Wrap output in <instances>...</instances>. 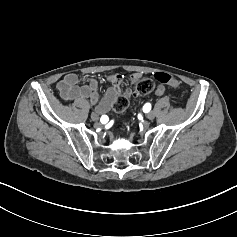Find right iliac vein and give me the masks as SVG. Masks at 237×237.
<instances>
[{"mask_svg": "<svg viewBox=\"0 0 237 237\" xmlns=\"http://www.w3.org/2000/svg\"><path fill=\"white\" fill-rule=\"evenodd\" d=\"M91 118H92L93 121H98V119H99V117L96 113H92Z\"/></svg>", "mask_w": 237, "mask_h": 237, "instance_id": "1", "label": "right iliac vein"}]
</instances>
